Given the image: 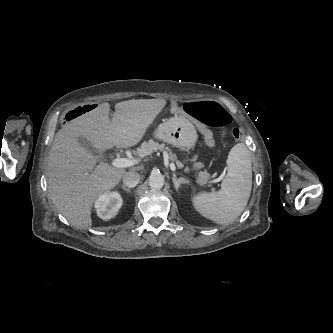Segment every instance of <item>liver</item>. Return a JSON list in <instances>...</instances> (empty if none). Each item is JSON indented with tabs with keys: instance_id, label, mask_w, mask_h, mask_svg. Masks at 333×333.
Listing matches in <instances>:
<instances>
[{
	"instance_id": "1",
	"label": "liver",
	"mask_w": 333,
	"mask_h": 333,
	"mask_svg": "<svg viewBox=\"0 0 333 333\" xmlns=\"http://www.w3.org/2000/svg\"><path fill=\"white\" fill-rule=\"evenodd\" d=\"M166 105L164 99H132L103 103L69 122L56 133L48 157L49 196L58 211L77 228L92 225L91 208L98 196L114 188L126 171L96 157L78 142L85 137L99 151L128 148L143 138L147 128Z\"/></svg>"
}]
</instances>
